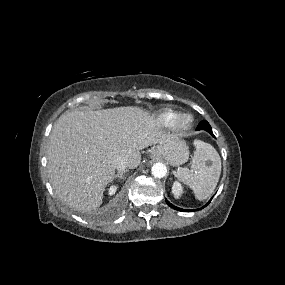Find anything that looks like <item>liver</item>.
<instances>
[{
	"label": "liver",
	"mask_w": 285,
	"mask_h": 285,
	"mask_svg": "<svg viewBox=\"0 0 285 285\" xmlns=\"http://www.w3.org/2000/svg\"><path fill=\"white\" fill-rule=\"evenodd\" d=\"M172 138L160 129L153 115L139 107L64 113L49 139L50 182L57 196L70 207L95 211L114 177L115 158L123 157L129 168H136L141 162L140 150Z\"/></svg>",
	"instance_id": "obj_1"
}]
</instances>
